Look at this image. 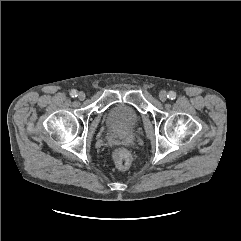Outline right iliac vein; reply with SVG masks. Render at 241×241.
<instances>
[{"label":"right iliac vein","mask_w":241,"mask_h":241,"mask_svg":"<svg viewBox=\"0 0 241 241\" xmlns=\"http://www.w3.org/2000/svg\"><path fill=\"white\" fill-rule=\"evenodd\" d=\"M85 97H86V95H85L84 92L81 91V92L78 93V98H79L80 100H84Z\"/></svg>","instance_id":"obj_1"}]
</instances>
